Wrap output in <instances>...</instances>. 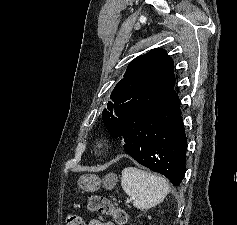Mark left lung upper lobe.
Here are the masks:
<instances>
[{
	"mask_svg": "<svg viewBox=\"0 0 237 225\" xmlns=\"http://www.w3.org/2000/svg\"><path fill=\"white\" fill-rule=\"evenodd\" d=\"M173 61L163 49H153L135 58L124 78L115 86L107 109L102 112L104 124L116 135L129 115L174 95Z\"/></svg>",
	"mask_w": 237,
	"mask_h": 225,
	"instance_id": "left-lung-upper-lobe-1",
	"label": "left lung upper lobe"
}]
</instances>
